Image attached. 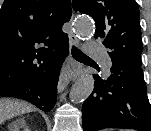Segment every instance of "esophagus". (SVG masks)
<instances>
[{
    "label": "esophagus",
    "mask_w": 151,
    "mask_h": 131,
    "mask_svg": "<svg viewBox=\"0 0 151 131\" xmlns=\"http://www.w3.org/2000/svg\"><path fill=\"white\" fill-rule=\"evenodd\" d=\"M69 41L71 45L78 44V39L72 31H70L69 33ZM77 69H78L77 64L70 58L59 77V82H58L59 92H62L67 87V85L69 84L71 80L76 79L78 75L76 71Z\"/></svg>",
    "instance_id": "esophagus-1"
}]
</instances>
